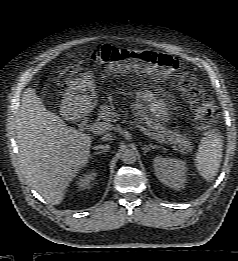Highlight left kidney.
<instances>
[{"mask_svg":"<svg viewBox=\"0 0 238 261\" xmlns=\"http://www.w3.org/2000/svg\"><path fill=\"white\" fill-rule=\"evenodd\" d=\"M156 177L161 183L175 190L184 188L186 182V162L176 158L156 156L153 161Z\"/></svg>","mask_w":238,"mask_h":261,"instance_id":"1","label":"left kidney"}]
</instances>
